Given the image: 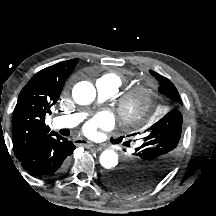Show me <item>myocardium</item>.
<instances>
[{"mask_svg":"<svg viewBox=\"0 0 216 216\" xmlns=\"http://www.w3.org/2000/svg\"><path fill=\"white\" fill-rule=\"evenodd\" d=\"M153 103V91L146 84L128 89L118 101V110L127 123H140L150 112Z\"/></svg>","mask_w":216,"mask_h":216,"instance_id":"obj_1","label":"myocardium"}]
</instances>
